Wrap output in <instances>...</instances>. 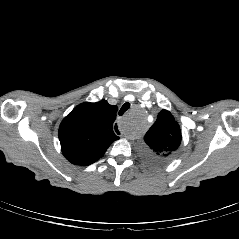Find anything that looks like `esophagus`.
Instances as JSON below:
<instances>
[{"label": "esophagus", "mask_w": 239, "mask_h": 239, "mask_svg": "<svg viewBox=\"0 0 239 239\" xmlns=\"http://www.w3.org/2000/svg\"><path fill=\"white\" fill-rule=\"evenodd\" d=\"M114 130H115V132H116V134L118 135V137H123V132H122V129H121V126H120V124L119 123H114Z\"/></svg>", "instance_id": "1"}]
</instances>
